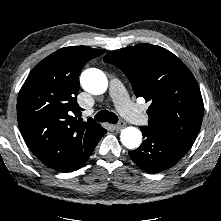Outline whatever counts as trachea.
<instances>
[{
  "instance_id": "obj_1",
  "label": "trachea",
  "mask_w": 221,
  "mask_h": 221,
  "mask_svg": "<svg viewBox=\"0 0 221 221\" xmlns=\"http://www.w3.org/2000/svg\"><path fill=\"white\" fill-rule=\"evenodd\" d=\"M98 122H109L116 124L118 122V117L115 113L109 112L108 110L99 111L94 117Z\"/></svg>"
}]
</instances>
